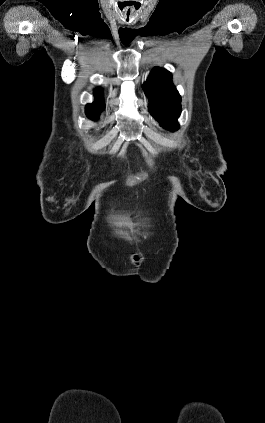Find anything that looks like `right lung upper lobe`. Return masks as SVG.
<instances>
[{
    "instance_id": "right-lung-upper-lobe-1",
    "label": "right lung upper lobe",
    "mask_w": 265,
    "mask_h": 423,
    "mask_svg": "<svg viewBox=\"0 0 265 423\" xmlns=\"http://www.w3.org/2000/svg\"><path fill=\"white\" fill-rule=\"evenodd\" d=\"M94 93L96 94L95 102L92 104L86 105V115L91 119H97L99 117V113L104 108V102L102 97V90L100 88H96Z\"/></svg>"
}]
</instances>
